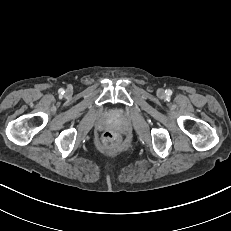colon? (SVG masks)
<instances>
[{
    "label": "colon",
    "instance_id": "1",
    "mask_svg": "<svg viewBox=\"0 0 231 231\" xmlns=\"http://www.w3.org/2000/svg\"><path fill=\"white\" fill-rule=\"evenodd\" d=\"M118 135L114 132L107 131L102 135V141L108 145H114L118 142Z\"/></svg>",
    "mask_w": 231,
    "mask_h": 231
}]
</instances>
